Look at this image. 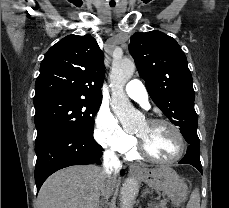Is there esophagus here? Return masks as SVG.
Wrapping results in <instances>:
<instances>
[{
	"instance_id": "1",
	"label": "esophagus",
	"mask_w": 229,
	"mask_h": 208,
	"mask_svg": "<svg viewBox=\"0 0 229 208\" xmlns=\"http://www.w3.org/2000/svg\"><path fill=\"white\" fill-rule=\"evenodd\" d=\"M139 168L136 167L135 165H130L129 166V173H133L134 171L138 170Z\"/></svg>"
}]
</instances>
